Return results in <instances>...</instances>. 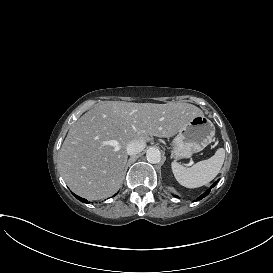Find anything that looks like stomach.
<instances>
[{"label":"stomach","mask_w":273,"mask_h":273,"mask_svg":"<svg viewBox=\"0 0 273 273\" xmlns=\"http://www.w3.org/2000/svg\"><path fill=\"white\" fill-rule=\"evenodd\" d=\"M215 135V126L203 116H196L182 127L173 139L172 156L175 159L189 158L208 146Z\"/></svg>","instance_id":"1"}]
</instances>
